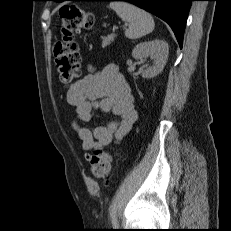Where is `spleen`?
Wrapping results in <instances>:
<instances>
[{
	"instance_id": "spleen-1",
	"label": "spleen",
	"mask_w": 231,
	"mask_h": 231,
	"mask_svg": "<svg viewBox=\"0 0 231 231\" xmlns=\"http://www.w3.org/2000/svg\"><path fill=\"white\" fill-rule=\"evenodd\" d=\"M109 8L114 10L122 21L128 23L125 36L129 39L141 38L154 30L153 17L146 11L127 2H110Z\"/></svg>"
}]
</instances>
